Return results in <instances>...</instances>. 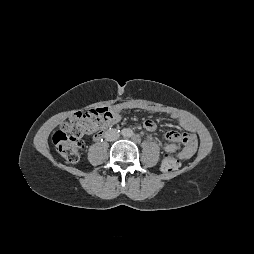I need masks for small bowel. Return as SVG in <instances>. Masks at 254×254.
Listing matches in <instances>:
<instances>
[{
  "label": "small bowel",
  "mask_w": 254,
  "mask_h": 254,
  "mask_svg": "<svg viewBox=\"0 0 254 254\" xmlns=\"http://www.w3.org/2000/svg\"><path fill=\"white\" fill-rule=\"evenodd\" d=\"M129 107H137L134 105H116L112 107V113H113V120L111 123V126L115 123H117L120 120V112L124 108ZM139 108L146 109L148 111L157 112L158 110L151 107H145V106H138ZM173 117H178L176 114L172 115ZM180 124L181 126L186 129L188 132L179 134L177 132L171 131L166 134V138L168 140V143L164 146L163 150L165 155H173L176 154V157L180 160H186L191 158L197 148V137L192 132V126L191 123L184 119L180 118ZM144 128L147 131L153 132L156 130V124L152 120H146L144 122ZM180 143L183 144V147H180Z\"/></svg>",
  "instance_id": "obj_1"
}]
</instances>
